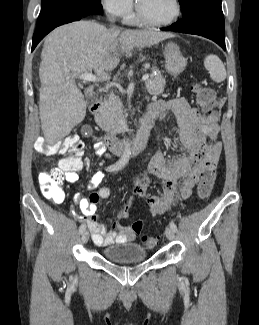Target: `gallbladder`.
<instances>
[{"label":"gallbladder","mask_w":259,"mask_h":325,"mask_svg":"<svg viewBox=\"0 0 259 325\" xmlns=\"http://www.w3.org/2000/svg\"><path fill=\"white\" fill-rule=\"evenodd\" d=\"M95 101V96H90L87 98L88 103H93ZM85 131H90V126H85ZM84 138L85 139H92L93 138V133L92 132H85L84 133Z\"/></svg>","instance_id":"gallbladder-1"}]
</instances>
